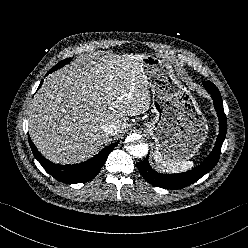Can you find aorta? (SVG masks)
Masks as SVG:
<instances>
[{"instance_id": "1", "label": "aorta", "mask_w": 248, "mask_h": 248, "mask_svg": "<svg viewBox=\"0 0 248 248\" xmlns=\"http://www.w3.org/2000/svg\"><path fill=\"white\" fill-rule=\"evenodd\" d=\"M140 136L138 134H132L127 138L128 144L126 146L127 151L134 157H143L148 153V145L146 143H135Z\"/></svg>"}]
</instances>
